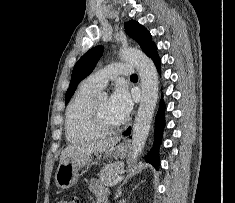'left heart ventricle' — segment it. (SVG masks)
I'll return each mask as SVG.
<instances>
[{
  "label": "left heart ventricle",
  "mask_w": 235,
  "mask_h": 203,
  "mask_svg": "<svg viewBox=\"0 0 235 203\" xmlns=\"http://www.w3.org/2000/svg\"><path fill=\"white\" fill-rule=\"evenodd\" d=\"M97 104L101 118L107 126L115 127L122 123V121L112 112L108 98H99Z\"/></svg>",
  "instance_id": "1"
}]
</instances>
